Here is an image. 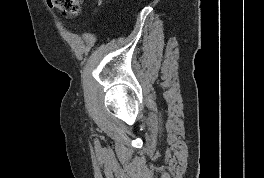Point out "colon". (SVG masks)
Instances as JSON below:
<instances>
[{"instance_id": "1", "label": "colon", "mask_w": 264, "mask_h": 178, "mask_svg": "<svg viewBox=\"0 0 264 178\" xmlns=\"http://www.w3.org/2000/svg\"><path fill=\"white\" fill-rule=\"evenodd\" d=\"M84 0H47L50 7L59 10L65 16H75L80 12Z\"/></svg>"}]
</instances>
